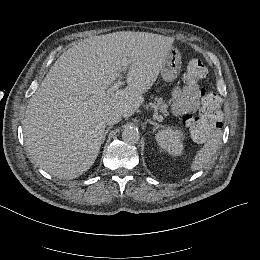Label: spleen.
<instances>
[{"instance_id": "spleen-1", "label": "spleen", "mask_w": 260, "mask_h": 260, "mask_svg": "<svg viewBox=\"0 0 260 260\" xmlns=\"http://www.w3.org/2000/svg\"><path fill=\"white\" fill-rule=\"evenodd\" d=\"M222 131L217 128L211 132V135L204 146L198 151L194 161L191 164V170L196 171L205 168L213 155L218 149V145L221 141Z\"/></svg>"}]
</instances>
